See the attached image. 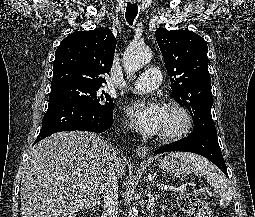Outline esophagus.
I'll list each match as a JSON object with an SVG mask.
<instances>
[{
	"label": "esophagus",
	"instance_id": "1",
	"mask_svg": "<svg viewBox=\"0 0 255 217\" xmlns=\"http://www.w3.org/2000/svg\"><path fill=\"white\" fill-rule=\"evenodd\" d=\"M137 154H138V156L141 157V158L146 157L147 154H148V148L145 147V146L138 148Z\"/></svg>",
	"mask_w": 255,
	"mask_h": 217
}]
</instances>
